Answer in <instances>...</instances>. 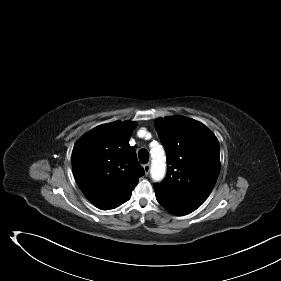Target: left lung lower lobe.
Returning <instances> with one entry per match:
<instances>
[{
	"label": "left lung lower lobe",
	"mask_w": 281,
	"mask_h": 281,
	"mask_svg": "<svg viewBox=\"0 0 281 281\" xmlns=\"http://www.w3.org/2000/svg\"><path fill=\"white\" fill-rule=\"evenodd\" d=\"M158 202L175 215H186L196 210L201 204L190 202L185 197L174 194L170 196L156 194Z\"/></svg>",
	"instance_id": "obj_1"
}]
</instances>
